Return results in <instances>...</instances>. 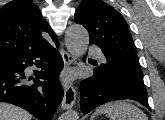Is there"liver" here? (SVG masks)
Here are the masks:
<instances>
[{
    "label": "liver",
    "mask_w": 165,
    "mask_h": 120,
    "mask_svg": "<svg viewBox=\"0 0 165 120\" xmlns=\"http://www.w3.org/2000/svg\"><path fill=\"white\" fill-rule=\"evenodd\" d=\"M32 116L15 105L0 102V120H31Z\"/></svg>",
    "instance_id": "liver-1"
}]
</instances>
